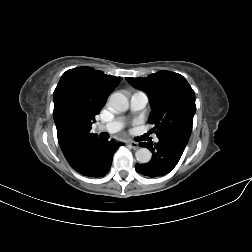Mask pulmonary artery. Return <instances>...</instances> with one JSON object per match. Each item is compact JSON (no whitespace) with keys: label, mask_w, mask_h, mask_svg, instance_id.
I'll list each match as a JSON object with an SVG mask.
<instances>
[{"label":"pulmonary artery","mask_w":252,"mask_h":252,"mask_svg":"<svg viewBox=\"0 0 252 252\" xmlns=\"http://www.w3.org/2000/svg\"><path fill=\"white\" fill-rule=\"evenodd\" d=\"M148 103V96L142 91L135 92L130 99V108L133 112L143 109ZM123 127V122L121 119H115L106 124H100L97 127L98 131L107 133H116ZM158 142V139H155Z\"/></svg>","instance_id":"1"}]
</instances>
